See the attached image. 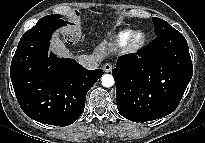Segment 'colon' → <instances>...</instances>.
<instances>
[{
    "mask_svg": "<svg viewBox=\"0 0 205 143\" xmlns=\"http://www.w3.org/2000/svg\"><path fill=\"white\" fill-rule=\"evenodd\" d=\"M62 37L65 41H73L76 37V30L73 25H68L62 32Z\"/></svg>",
    "mask_w": 205,
    "mask_h": 143,
    "instance_id": "colon-1",
    "label": "colon"
}]
</instances>
